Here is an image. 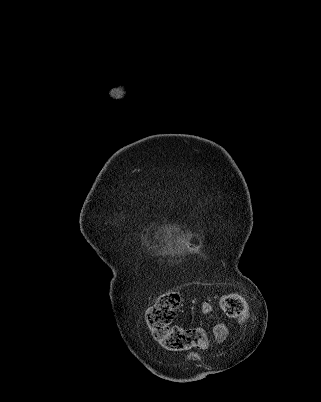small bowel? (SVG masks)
Masks as SVG:
<instances>
[{
  "instance_id": "small-bowel-1",
  "label": "small bowel",
  "mask_w": 321,
  "mask_h": 402,
  "mask_svg": "<svg viewBox=\"0 0 321 402\" xmlns=\"http://www.w3.org/2000/svg\"><path fill=\"white\" fill-rule=\"evenodd\" d=\"M213 311H214L213 305L209 302H203L199 307V312L202 314H211L213 313ZM212 332L218 341H224L232 334L228 326L223 322H217L213 324Z\"/></svg>"
}]
</instances>
